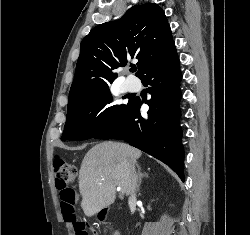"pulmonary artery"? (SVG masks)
I'll return each instance as SVG.
<instances>
[{"label": "pulmonary artery", "instance_id": "obj_1", "mask_svg": "<svg viewBox=\"0 0 250 235\" xmlns=\"http://www.w3.org/2000/svg\"><path fill=\"white\" fill-rule=\"evenodd\" d=\"M125 85L129 91H136L140 87L139 81L132 82L130 79L125 82Z\"/></svg>", "mask_w": 250, "mask_h": 235}]
</instances>
